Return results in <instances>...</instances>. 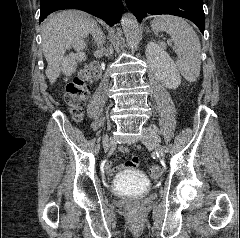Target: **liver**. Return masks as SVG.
I'll return each instance as SVG.
<instances>
[{"mask_svg":"<svg viewBox=\"0 0 240 238\" xmlns=\"http://www.w3.org/2000/svg\"><path fill=\"white\" fill-rule=\"evenodd\" d=\"M97 23L88 14L70 10L50 16L42 29V49L48 63L46 75L51 84L63 73L68 80L75 73L78 62L86 59L82 51L84 39L96 29ZM74 47L77 53L65 56L66 50Z\"/></svg>","mask_w":240,"mask_h":238,"instance_id":"liver-1","label":"liver"}]
</instances>
